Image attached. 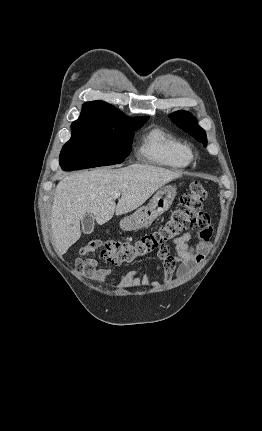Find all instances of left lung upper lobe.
Instances as JSON below:
<instances>
[{
    "mask_svg": "<svg viewBox=\"0 0 262 431\" xmlns=\"http://www.w3.org/2000/svg\"><path fill=\"white\" fill-rule=\"evenodd\" d=\"M170 117L178 127L206 146V133L200 126H198L197 120L192 116V114L186 111H177L170 115Z\"/></svg>",
    "mask_w": 262,
    "mask_h": 431,
    "instance_id": "1",
    "label": "left lung upper lobe"
}]
</instances>
